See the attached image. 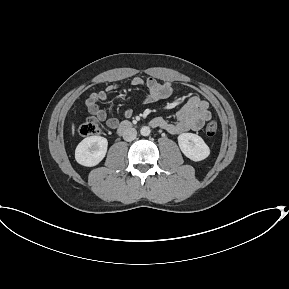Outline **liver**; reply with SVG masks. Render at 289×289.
<instances>
[{"label": "liver", "instance_id": "liver-1", "mask_svg": "<svg viewBox=\"0 0 289 289\" xmlns=\"http://www.w3.org/2000/svg\"><path fill=\"white\" fill-rule=\"evenodd\" d=\"M74 133H75V126L74 124H72V135L74 136Z\"/></svg>", "mask_w": 289, "mask_h": 289}]
</instances>
